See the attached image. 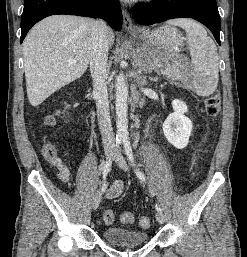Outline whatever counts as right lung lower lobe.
<instances>
[{
    "label": "right lung lower lobe",
    "mask_w": 247,
    "mask_h": 257,
    "mask_svg": "<svg viewBox=\"0 0 247 257\" xmlns=\"http://www.w3.org/2000/svg\"><path fill=\"white\" fill-rule=\"evenodd\" d=\"M55 14L102 18L113 29L119 31L122 28V12L118 0H25L20 43L35 23Z\"/></svg>",
    "instance_id": "98d812e1"
}]
</instances>
